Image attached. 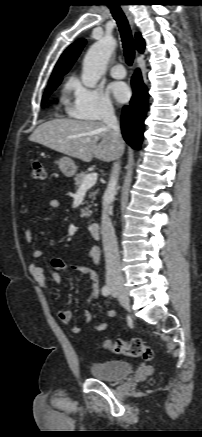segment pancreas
Returning <instances> with one entry per match:
<instances>
[{
  "label": "pancreas",
  "mask_w": 202,
  "mask_h": 437,
  "mask_svg": "<svg viewBox=\"0 0 202 437\" xmlns=\"http://www.w3.org/2000/svg\"><path fill=\"white\" fill-rule=\"evenodd\" d=\"M87 175H88L87 172H81V173H79V174H77V175L75 176L74 181H75L76 189L80 188V186H81L82 183H83L84 178H85ZM96 194H97V192H92V193L89 195V197L94 201V200H95V196H96ZM90 207H91V206H87V207L81 209V217H89V216H90V214H91Z\"/></svg>",
  "instance_id": "1"
}]
</instances>
